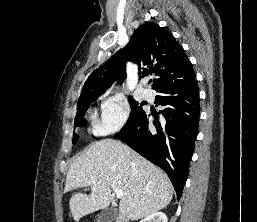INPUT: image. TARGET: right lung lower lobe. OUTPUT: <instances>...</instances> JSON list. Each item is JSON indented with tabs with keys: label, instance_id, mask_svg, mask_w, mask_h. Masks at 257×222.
I'll list each match as a JSON object with an SVG mask.
<instances>
[{
	"label": "right lung lower lobe",
	"instance_id": "obj_1",
	"mask_svg": "<svg viewBox=\"0 0 257 222\" xmlns=\"http://www.w3.org/2000/svg\"><path fill=\"white\" fill-rule=\"evenodd\" d=\"M195 75L156 91V104L164 107L149 126L145 111L128 128L114 136L169 176L178 199L189 172L200 116L199 90Z\"/></svg>",
	"mask_w": 257,
	"mask_h": 222
}]
</instances>
